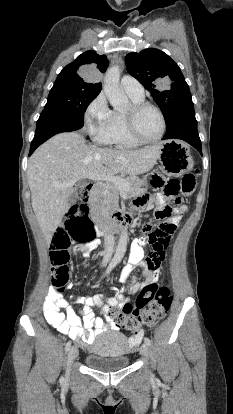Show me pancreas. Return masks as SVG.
<instances>
[{
	"instance_id": "pancreas-1",
	"label": "pancreas",
	"mask_w": 233,
	"mask_h": 414,
	"mask_svg": "<svg viewBox=\"0 0 233 414\" xmlns=\"http://www.w3.org/2000/svg\"><path fill=\"white\" fill-rule=\"evenodd\" d=\"M122 179L129 184V189H120L111 182H108L104 185L99 199L102 205L103 213L111 214L119 207L118 201L119 193L121 191L125 192L127 195H136L143 191V181L140 180L137 176L130 175Z\"/></svg>"
}]
</instances>
